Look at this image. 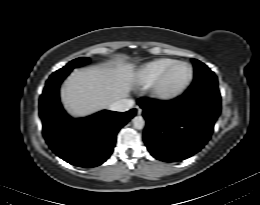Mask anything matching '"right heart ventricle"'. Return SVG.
<instances>
[{
	"label": "right heart ventricle",
	"mask_w": 260,
	"mask_h": 205,
	"mask_svg": "<svg viewBox=\"0 0 260 205\" xmlns=\"http://www.w3.org/2000/svg\"><path fill=\"white\" fill-rule=\"evenodd\" d=\"M176 61L171 58H159L144 64L136 74L137 83L143 87L151 86Z\"/></svg>",
	"instance_id": "1"
}]
</instances>
